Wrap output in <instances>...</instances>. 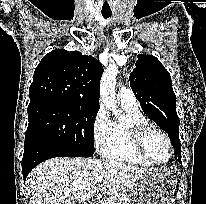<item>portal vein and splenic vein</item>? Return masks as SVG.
<instances>
[{
    "mask_svg": "<svg viewBox=\"0 0 206 204\" xmlns=\"http://www.w3.org/2000/svg\"><path fill=\"white\" fill-rule=\"evenodd\" d=\"M103 181V176H98L97 178H96V182L97 183H100V182H102ZM111 204H113V203H111Z\"/></svg>",
    "mask_w": 206,
    "mask_h": 204,
    "instance_id": "18ae733b",
    "label": "portal vein and splenic vein"
}]
</instances>
